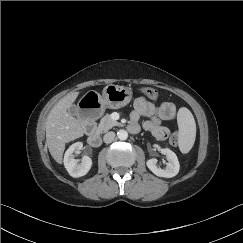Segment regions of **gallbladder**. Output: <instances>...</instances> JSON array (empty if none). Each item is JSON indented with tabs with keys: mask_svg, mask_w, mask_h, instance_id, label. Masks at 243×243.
Returning <instances> with one entry per match:
<instances>
[{
	"mask_svg": "<svg viewBox=\"0 0 243 243\" xmlns=\"http://www.w3.org/2000/svg\"><path fill=\"white\" fill-rule=\"evenodd\" d=\"M68 113L72 116H76L77 113H78V108L75 106V105H71L69 108H68Z\"/></svg>",
	"mask_w": 243,
	"mask_h": 243,
	"instance_id": "bac80fb5",
	"label": "gallbladder"
}]
</instances>
